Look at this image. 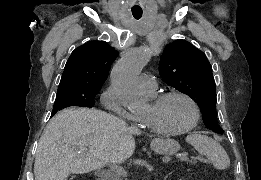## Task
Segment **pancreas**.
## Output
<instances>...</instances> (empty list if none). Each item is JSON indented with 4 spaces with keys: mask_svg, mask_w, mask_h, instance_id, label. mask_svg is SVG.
<instances>
[{
    "mask_svg": "<svg viewBox=\"0 0 261 180\" xmlns=\"http://www.w3.org/2000/svg\"><path fill=\"white\" fill-rule=\"evenodd\" d=\"M188 164H191V166H194V164H196V160L195 158H190L189 161H187Z\"/></svg>",
    "mask_w": 261,
    "mask_h": 180,
    "instance_id": "obj_1",
    "label": "pancreas"
}]
</instances>
